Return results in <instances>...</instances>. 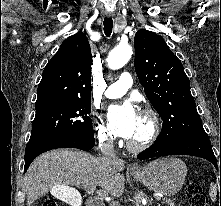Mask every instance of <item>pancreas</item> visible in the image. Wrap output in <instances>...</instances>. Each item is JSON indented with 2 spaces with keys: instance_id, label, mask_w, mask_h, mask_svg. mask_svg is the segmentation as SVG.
Instances as JSON below:
<instances>
[{
  "instance_id": "pancreas-1",
  "label": "pancreas",
  "mask_w": 221,
  "mask_h": 206,
  "mask_svg": "<svg viewBox=\"0 0 221 206\" xmlns=\"http://www.w3.org/2000/svg\"><path fill=\"white\" fill-rule=\"evenodd\" d=\"M162 204H167L168 206H176V205H175V201L172 200V199H164V200L162 201Z\"/></svg>"
}]
</instances>
